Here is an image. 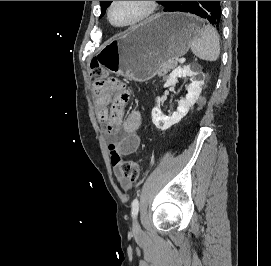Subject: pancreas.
Masks as SVG:
<instances>
[{
	"instance_id": "obj_1",
	"label": "pancreas",
	"mask_w": 271,
	"mask_h": 266,
	"mask_svg": "<svg viewBox=\"0 0 271 266\" xmlns=\"http://www.w3.org/2000/svg\"><path fill=\"white\" fill-rule=\"evenodd\" d=\"M177 66V61H166L162 63L158 70L159 76L166 75L171 69L175 68Z\"/></svg>"
}]
</instances>
